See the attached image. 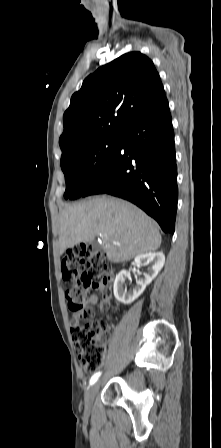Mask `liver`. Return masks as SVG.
<instances>
[{
  "label": "liver",
  "instance_id": "obj_1",
  "mask_svg": "<svg viewBox=\"0 0 221 448\" xmlns=\"http://www.w3.org/2000/svg\"><path fill=\"white\" fill-rule=\"evenodd\" d=\"M108 260L125 262L159 249L162 237L154 221L135 205L113 197H96L68 206L59 218V250L91 243L97 236Z\"/></svg>",
  "mask_w": 221,
  "mask_h": 448
}]
</instances>
